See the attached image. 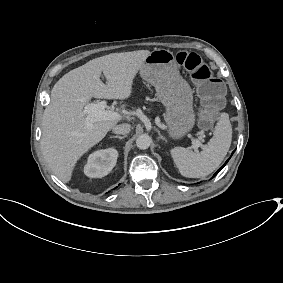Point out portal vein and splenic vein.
Segmentation results:
<instances>
[{"instance_id": "obj_1", "label": "portal vein and splenic vein", "mask_w": 283, "mask_h": 283, "mask_svg": "<svg viewBox=\"0 0 283 283\" xmlns=\"http://www.w3.org/2000/svg\"><path fill=\"white\" fill-rule=\"evenodd\" d=\"M106 106V101H101L96 104H87L84 107L83 114L86 115V123L88 127H92L93 123L97 121H119L121 119L119 113L105 110ZM199 134L202 135L203 132H199ZM192 144L191 148L194 149L195 152H198L199 147L204 148L199 140H193Z\"/></svg>"}]
</instances>
